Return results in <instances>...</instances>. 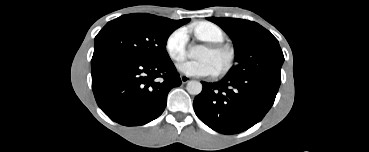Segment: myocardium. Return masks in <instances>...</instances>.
I'll return each instance as SVG.
<instances>
[{
  "label": "myocardium",
  "mask_w": 369,
  "mask_h": 152,
  "mask_svg": "<svg viewBox=\"0 0 369 152\" xmlns=\"http://www.w3.org/2000/svg\"><path fill=\"white\" fill-rule=\"evenodd\" d=\"M210 49L223 57L222 65L217 69V74L222 75L227 73L233 66L235 60V53L232 47L223 43H210Z\"/></svg>",
  "instance_id": "1"
}]
</instances>
